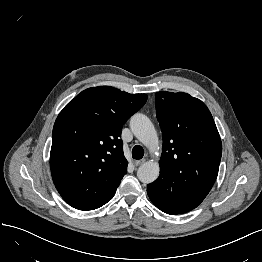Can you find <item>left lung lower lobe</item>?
<instances>
[{"label": "left lung lower lobe", "instance_id": "0a47b994", "mask_svg": "<svg viewBox=\"0 0 262 262\" xmlns=\"http://www.w3.org/2000/svg\"><path fill=\"white\" fill-rule=\"evenodd\" d=\"M154 203V205H156L160 210H162L163 212H165V213H168V214H171V215H173L174 213H172V212H169V211H167V210H165L163 207H161L160 205H158L157 203H155V202H153Z\"/></svg>", "mask_w": 262, "mask_h": 262}]
</instances>
